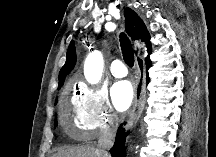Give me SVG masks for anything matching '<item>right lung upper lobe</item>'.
<instances>
[{
	"label": "right lung upper lobe",
	"instance_id": "obj_1",
	"mask_svg": "<svg viewBox=\"0 0 216 157\" xmlns=\"http://www.w3.org/2000/svg\"><path fill=\"white\" fill-rule=\"evenodd\" d=\"M125 26L126 32L132 39H140L147 45L148 54L151 53L150 35L142 19L130 8H125ZM149 59V56L145 60ZM76 63V54L73 41L70 43L67 54L66 62L59 72V87L64 83L65 76L74 68Z\"/></svg>",
	"mask_w": 216,
	"mask_h": 157
}]
</instances>
